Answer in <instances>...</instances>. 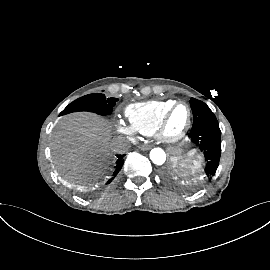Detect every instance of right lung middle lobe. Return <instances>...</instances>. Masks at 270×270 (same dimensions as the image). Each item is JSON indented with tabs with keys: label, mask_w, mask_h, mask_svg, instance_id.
I'll use <instances>...</instances> for the list:
<instances>
[{
	"label": "right lung middle lobe",
	"mask_w": 270,
	"mask_h": 270,
	"mask_svg": "<svg viewBox=\"0 0 270 270\" xmlns=\"http://www.w3.org/2000/svg\"><path fill=\"white\" fill-rule=\"evenodd\" d=\"M118 101L116 98L106 100L104 94H89L78 98L70 103L60 115L68 114L76 111L95 112L99 115H108L112 112V108Z\"/></svg>",
	"instance_id": "1"
}]
</instances>
